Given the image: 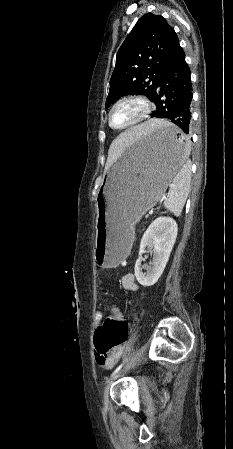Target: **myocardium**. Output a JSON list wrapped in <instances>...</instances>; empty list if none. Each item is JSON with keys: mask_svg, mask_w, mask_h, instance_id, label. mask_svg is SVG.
I'll return each instance as SVG.
<instances>
[{"mask_svg": "<svg viewBox=\"0 0 233 449\" xmlns=\"http://www.w3.org/2000/svg\"><path fill=\"white\" fill-rule=\"evenodd\" d=\"M127 101H137V102H139V103L143 106V112H142V114L140 115V117L137 118V119H136L135 121H133L132 123H130V124H128V125H125V126H122V127H116V126H114V125L112 124V121H111L112 113H113L114 109H115L118 105H120V104H122V103H124V102H127ZM152 109H153V105H152L151 101H150L147 97H145V96H143V95H139V94H131V95L123 96V97L119 98L118 100H116V101L112 104V106L110 107V109H109V112H108V123H109V126H110L112 129H114V130H126V129L133 128V127H135V126H137V125L143 123V122L149 117V115H150Z\"/></svg>", "mask_w": 233, "mask_h": 449, "instance_id": "myocardium-1", "label": "myocardium"}]
</instances>
